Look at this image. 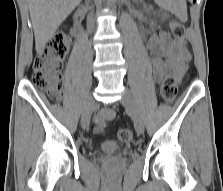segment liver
<instances>
[{
  "mask_svg": "<svg viewBox=\"0 0 223 191\" xmlns=\"http://www.w3.org/2000/svg\"><path fill=\"white\" fill-rule=\"evenodd\" d=\"M81 0H28L35 35V47L41 54L61 23Z\"/></svg>",
  "mask_w": 223,
  "mask_h": 191,
  "instance_id": "obj_1",
  "label": "liver"
}]
</instances>
